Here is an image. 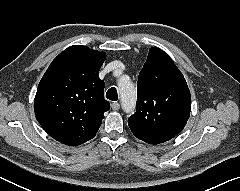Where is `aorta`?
<instances>
[{"instance_id":"1","label":"aorta","mask_w":240,"mask_h":191,"mask_svg":"<svg viewBox=\"0 0 240 191\" xmlns=\"http://www.w3.org/2000/svg\"><path fill=\"white\" fill-rule=\"evenodd\" d=\"M122 109L126 113L132 112L136 107V90L129 80L120 81L118 84Z\"/></svg>"}]
</instances>
